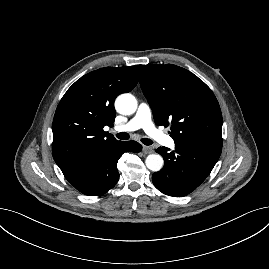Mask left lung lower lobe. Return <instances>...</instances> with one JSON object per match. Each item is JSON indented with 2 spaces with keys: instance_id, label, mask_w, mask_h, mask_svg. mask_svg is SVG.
<instances>
[{
  "instance_id": "left-lung-lower-lobe-1",
  "label": "left lung lower lobe",
  "mask_w": 269,
  "mask_h": 269,
  "mask_svg": "<svg viewBox=\"0 0 269 269\" xmlns=\"http://www.w3.org/2000/svg\"><path fill=\"white\" fill-rule=\"evenodd\" d=\"M222 148L194 143L175 144L169 151L159 147L156 152L164 158V167L152 175L154 186L162 193L182 197L195 190L210 174Z\"/></svg>"
}]
</instances>
